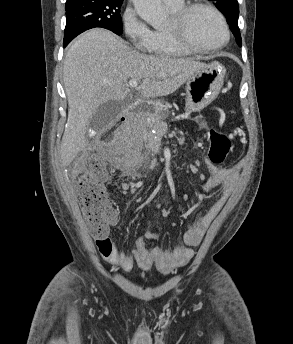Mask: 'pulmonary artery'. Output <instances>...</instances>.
Masks as SVG:
<instances>
[{
  "label": "pulmonary artery",
  "instance_id": "1",
  "mask_svg": "<svg viewBox=\"0 0 293 344\" xmlns=\"http://www.w3.org/2000/svg\"><path fill=\"white\" fill-rule=\"evenodd\" d=\"M165 4L167 5H171V4H175L181 0H162Z\"/></svg>",
  "mask_w": 293,
  "mask_h": 344
}]
</instances>
